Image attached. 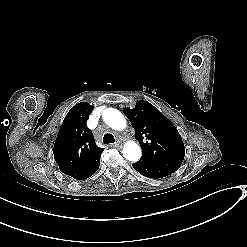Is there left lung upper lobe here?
Segmentation results:
<instances>
[{
	"mask_svg": "<svg viewBox=\"0 0 247 247\" xmlns=\"http://www.w3.org/2000/svg\"><path fill=\"white\" fill-rule=\"evenodd\" d=\"M123 111L140 143V160H149L177 170L184 159L185 148L170 120L147 101H138L135 108H124Z\"/></svg>",
	"mask_w": 247,
	"mask_h": 247,
	"instance_id": "obj_1",
	"label": "left lung upper lobe"
}]
</instances>
